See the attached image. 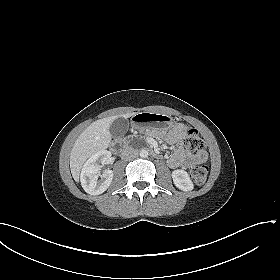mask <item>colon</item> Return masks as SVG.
I'll list each match as a JSON object with an SVG mask.
<instances>
[{"instance_id":"obj_1","label":"colon","mask_w":280,"mask_h":280,"mask_svg":"<svg viewBox=\"0 0 280 280\" xmlns=\"http://www.w3.org/2000/svg\"><path fill=\"white\" fill-rule=\"evenodd\" d=\"M184 140L186 146L191 151H201L204 148V142L198 131L194 128H186ZM208 170L207 164L196 165L190 169V177L196 184H203L206 181Z\"/></svg>"}]
</instances>
